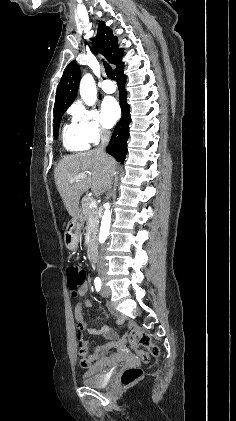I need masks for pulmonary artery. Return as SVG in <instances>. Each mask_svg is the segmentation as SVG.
<instances>
[{
  "label": "pulmonary artery",
  "mask_w": 236,
  "mask_h": 421,
  "mask_svg": "<svg viewBox=\"0 0 236 421\" xmlns=\"http://www.w3.org/2000/svg\"><path fill=\"white\" fill-rule=\"evenodd\" d=\"M101 86L105 93L112 94L116 91V84L113 82L104 81Z\"/></svg>",
  "instance_id": "1"
}]
</instances>
